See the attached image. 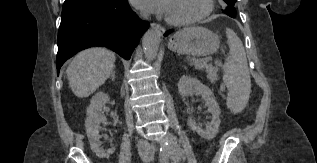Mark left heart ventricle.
Returning a JSON list of instances; mask_svg holds the SVG:
<instances>
[{
	"instance_id": "1",
	"label": "left heart ventricle",
	"mask_w": 317,
	"mask_h": 163,
	"mask_svg": "<svg viewBox=\"0 0 317 163\" xmlns=\"http://www.w3.org/2000/svg\"><path fill=\"white\" fill-rule=\"evenodd\" d=\"M204 1L205 0H171L167 16L176 20L194 17L203 10Z\"/></svg>"
}]
</instances>
